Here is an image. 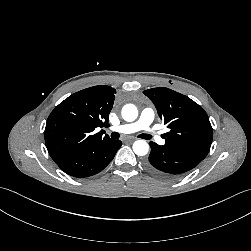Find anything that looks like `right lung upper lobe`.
<instances>
[{
	"instance_id": "1",
	"label": "right lung upper lobe",
	"mask_w": 251,
	"mask_h": 251,
	"mask_svg": "<svg viewBox=\"0 0 251 251\" xmlns=\"http://www.w3.org/2000/svg\"><path fill=\"white\" fill-rule=\"evenodd\" d=\"M115 93L116 90L109 86L86 88L66 98L51 112L44 136L55 163L91 144L110 140L108 135L102 137L101 132L94 130L109 126Z\"/></svg>"
}]
</instances>
